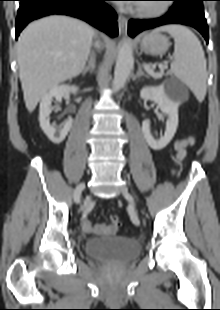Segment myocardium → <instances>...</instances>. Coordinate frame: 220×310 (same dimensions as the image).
I'll list each match as a JSON object with an SVG mask.
<instances>
[{
  "label": "myocardium",
  "instance_id": "1",
  "mask_svg": "<svg viewBox=\"0 0 220 310\" xmlns=\"http://www.w3.org/2000/svg\"><path fill=\"white\" fill-rule=\"evenodd\" d=\"M168 10L167 4H155L151 6H141L135 9V13L139 16L155 17L165 13Z\"/></svg>",
  "mask_w": 220,
  "mask_h": 310
}]
</instances>
